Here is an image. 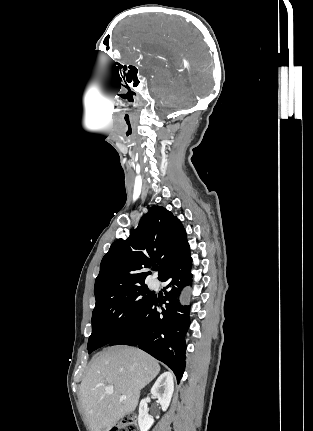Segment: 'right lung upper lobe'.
I'll return each instance as SVG.
<instances>
[{"instance_id": "obj_1", "label": "right lung upper lobe", "mask_w": 313, "mask_h": 431, "mask_svg": "<svg viewBox=\"0 0 313 431\" xmlns=\"http://www.w3.org/2000/svg\"><path fill=\"white\" fill-rule=\"evenodd\" d=\"M180 220L161 206H152L138 227L126 239L116 240L103 257L95 280L96 302L103 298L145 285L146 269L160 267V280L187 246Z\"/></svg>"}]
</instances>
